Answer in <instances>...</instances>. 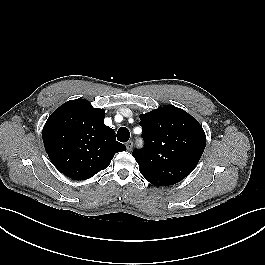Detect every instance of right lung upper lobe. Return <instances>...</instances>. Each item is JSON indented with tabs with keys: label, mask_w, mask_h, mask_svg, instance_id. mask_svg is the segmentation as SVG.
<instances>
[{
	"label": "right lung upper lobe",
	"mask_w": 265,
	"mask_h": 265,
	"mask_svg": "<svg viewBox=\"0 0 265 265\" xmlns=\"http://www.w3.org/2000/svg\"><path fill=\"white\" fill-rule=\"evenodd\" d=\"M104 117L103 109L76 99L62 104L46 121L42 133L46 152L65 176L91 178L109 166L115 153L126 150Z\"/></svg>",
	"instance_id": "right-lung-upper-lobe-1"
}]
</instances>
